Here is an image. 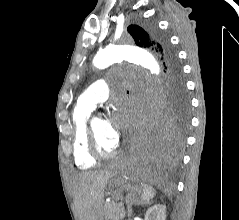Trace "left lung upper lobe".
<instances>
[{"mask_svg":"<svg viewBox=\"0 0 239 220\" xmlns=\"http://www.w3.org/2000/svg\"><path fill=\"white\" fill-rule=\"evenodd\" d=\"M127 30L134 38L136 45L155 51L163 62L164 72L167 73L170 80L168 118L179 131H182L188 122V100L180 66L169 47L167 38L152 24L146 28L130 25Z\"/></svg>","mask_w":239,"mask_h":220,"instance_id":"1","label":"left lung upper lobe"}]
</instances>
